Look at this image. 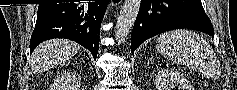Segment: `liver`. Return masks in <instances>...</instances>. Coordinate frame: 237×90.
Returning <instances> with one entry per match:
<instances>
[{"label": "liver", "mask_w": 237, "mask_h": 90, "mask_svg": "<svg viewBox=\"0 0 237 90\" xmlns=\"http://www.w3.org/2000/svg\"><path fill=\"white\" fill-rule=\"evenodd\" d=\"M81 46L70 40H48L39 44L31 56L33 70H50L76 56Z\"/></svg>", "instance_id": "6515ba94"}]
</instances>
